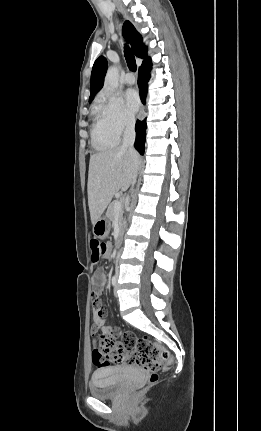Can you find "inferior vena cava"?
Instances as JSON below:
<instances>
[{"mask_svg":"<svg viewBox=\"0 0 261 431\" xmlns=\"http://www.w3.org/2000/svg\"><path fill=\"white\" fill-rule=\"evenodd\" d=\"M134 142H135V119L134 117H129L126 120V128L123 135V144L122 149H127L131 153H135L134 149ZM136 182V175L133 178L132 185H134Z\"/></svg>","mask_w":261,"mask_h":431,"instance_id":"602c4592","label":"inferior vena cava"}]
</instances>
